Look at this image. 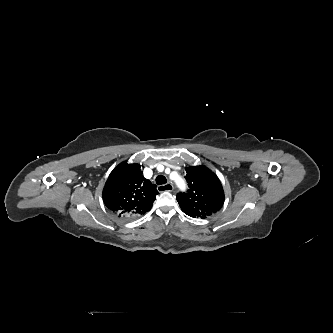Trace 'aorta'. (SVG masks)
I'll list each match as a JSON object with an SVG mask.
<instances>
[{
	"mask_svg": "<svg viewBox=\"0 0 333 333\" xmlns=\"http://www.w3.org/2000/svg\"><path fill=\"white\" fill-rule=\"evenodd\" d=\"M176 183L181 189L185 188V181L181 177H177Z\"/></svg>",
	"mask_w": 333,
	"mask_h": 333,
	"instance_id": "762f6f07",
	"label": "aorta"
}]
</instances>
